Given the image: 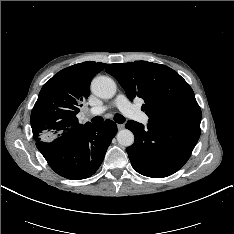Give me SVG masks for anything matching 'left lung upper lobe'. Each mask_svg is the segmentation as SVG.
Here are the masks:
<instances>
[{"mask_svg":"<svg viewBox=\"0 0 234 234\" xmlns=\"http://www.w3.org/2000/svg\"><path fill=\"white\" fill-rule=\"evenodd\" d=\"M128 98L145 101L149 123H201V110L188 83L171 68L147 61L110 64Z\"/></svg>","mask_w":234,"mask_h":234,"instance_id":"1","label":"left lung upper lobe"}]
</instances>
